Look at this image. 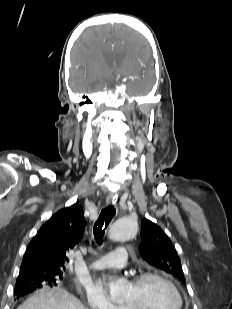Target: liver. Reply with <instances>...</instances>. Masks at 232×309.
Instances as JSON below:
<instances>
[{
	"label": "liver",
	"instance_id": "obj_1",
	"mask_svg": "<svg viewBox=\"0 0 232 309\" xmlns=\"http://www.w3.org/2000/svg\"><path fill=\"white\" fill-rule=\"evenodd\" d=\"M17 309H87L76 297L61 288L45 287L22 303Z\"/></svg>",
	"mask_w": 232,
	"mask_h": 309
}]
</instances>
